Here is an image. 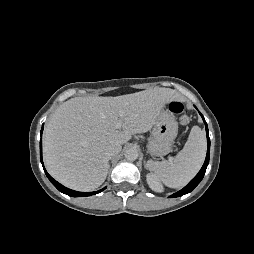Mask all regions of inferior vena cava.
Masks as SVG:
<instances>
[{"label":"inferior vena cava","instance_id":"inferior-vena-cava-1","mask_svg":"<svg viewBox=\"0 0 254 254\" xmlns=\"http://www.w3.org/2000/svg\"><path fill=\"white\" fill-rule=\"evenodd\" d=\"M121 151V144L119 143H112L106 149V155L111 158L112 156L120 153Z\"/></svg>","mask_w":254,"mask_h":254}]
</instances>
